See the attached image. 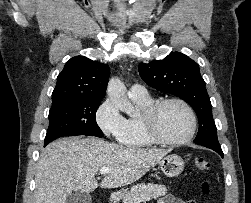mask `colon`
Returning a JSON list of instances; mask_svg holds the SVG:
<instances>
[{
  "instance_id": "colon-1",
  "label": "colon",
  "mask_w": 251,
  "mask_h": 203,
  "mask_svg": "<svg viewBox=\"0 0 251 203\" xmlns=\"http://www.w3.org/2000/svg\"><path fill=\"white\" fill-rule=\"evenodd\" d=\"M195 167L198 171L204 172L210 168V162L205 157H197L195 159ZM202 191L203 193L207 194L210 191V185L208 182H204L202 184Z\"/></svg>"
}]
</instances>
